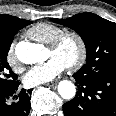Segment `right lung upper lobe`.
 I'll return each instance as SVG.
<instances>
[{
	"mask_svg": "<svg viewBox=\"0 0 116 116\" xmlns=\"http://www.w3.org/2000/svg\"><path fill=\"white\" fill-rule=\"evenodd\" d=\"M24 21L26 20L19 19L8 14H0V28H12L23 23Z\"/></svg>",
	"mask_w": 116,
	"mask_h": 116,
	"instance_id": "1",
	"label": "right lung upper lobe"
}]
</instances>
